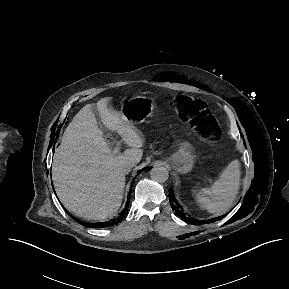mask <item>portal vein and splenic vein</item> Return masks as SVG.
I'll list each match as a JSON object with an SVG mask.
<instances>
[{"label": "portal vein and splenic vein", "mask_w": 289, "mask_h": 289, "mask_svg": "<svg viewBox=\"0 0 289 289\" xmlns=\"http://www.w3.org/2000/svg\"><path fill=\"white\" fill-rule=\"evenodd\" d=\"M120 150V147L117 145L114 149H113V154H117Z\"/></svg>", "instance_id": "18ae733b"}]
</instances>
